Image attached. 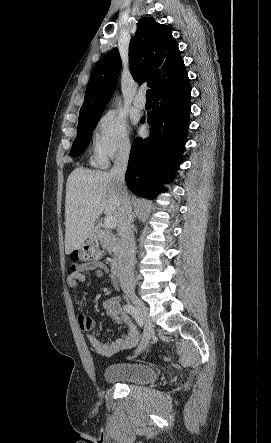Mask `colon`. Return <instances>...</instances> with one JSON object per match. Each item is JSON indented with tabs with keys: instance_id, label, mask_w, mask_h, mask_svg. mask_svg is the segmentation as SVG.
<instances>
[{
	"instance_id": "1",
	"label": "colon",
	"mask_w": 271,
	"mask_h": 443,
	"mask_svg": "<svg viewBox=\"0 0 271 443\" xmlns=\"http://www.w3.org/2000/svg\"><path fill=\"white\" fill-rule=\"evenodd\" d=\"M100 251L93 243H84L70 254V259L75 262L88 263L99 257Z\"/></svg>"
}]
</instances>
